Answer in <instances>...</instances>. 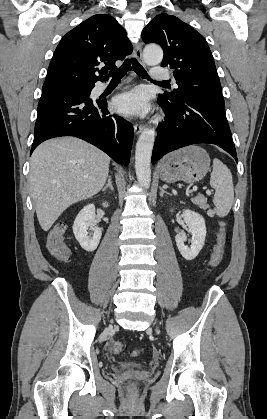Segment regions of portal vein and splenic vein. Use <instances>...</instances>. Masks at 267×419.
I'll return each mask as SVG.
<instances>
[{
  "instance_id": "18ae733b",
  "label": "portal vein and splenic vein",
  "mask_w": 267,
  "mask_h": 419,
  "mask_svg": "<svg viewBox=\"0 0 267 419\" xmlns=\"http://www.w3.org/2000/svg\"><path fill=\"white\" fill-rule=\"evenodd\" d=\"M196 190H197V188H196V187H194L193 191H196ZM206 193H207L208 195H211V191H210V190H207V191H206Z\"/></svg>"
}]
</instances>
